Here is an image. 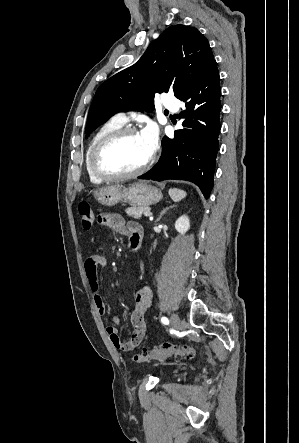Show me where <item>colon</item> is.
Instances as JSON below:
<instances>
[{
  "label": "colon",
  "mask_w": 299,
  "mask_h": 443,
  "mask_svg": "<svg viewBox=\"0 0 299 443\" xmlns=\"http://www.w3.org/2000/svg\"><path fill=\"white\" fill-rule=\"evenodd\" d=\"M78 213L80 217L81 227L84 230H90L95 224V214L91 205L87 202H81L78 205ZM196 356V351L193 347L188 345H175L165 343L160 347L145 349L134 356L136 363H144L150 360H164L169 357L176 358H193Z\"/></svg>",
  "instance_id": "colon-1"
}]
</instances>
